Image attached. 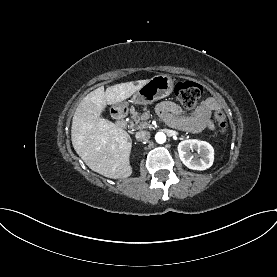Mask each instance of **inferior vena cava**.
Masks as SVG:
<instances>
[{
	"instance_id": "obj_1",
	"label": "inferior vena cava",
	"mask_w": 277,
	"mask_h": 277,
	"mask_svg": "<svg viewBox=\"0 0 277 277\" xmlns=\"http://www.w3.org/2000/svg\"><path fill=\"white\" fill-rule=\"evenodd\" d=\"M150 136H151L150 132L145 130L138 131L135 135L138 141H147L150 139Z\"/></svg>"
}]
</instances>
